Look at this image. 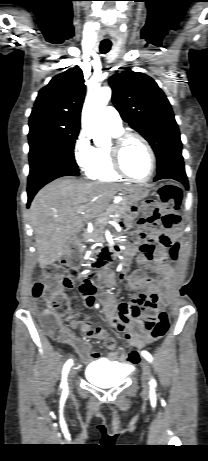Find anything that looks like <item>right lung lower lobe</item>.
<instances>
[{
    "instance_id": "right-lung-lower-lobe-1",
    "label": "right lung lower lobe",
    "mask_w": 208,
    "mask_h": 461,
    "mask_svg": "<svg viewBox=\"0 0 208 461\" xmlns=\"http://www.w3.org/2000/svg\"><path fill=\"white\" fill-rule=\"evenodd\" d=\"M78 176L79 171L74 170L67 165L60 164V163H50L46 164L36 171L31 172L28 177V202L27 207L30 206V202L33 199L34 195L37 191L49 183L50 181L62 177V176Z\"/></svg>"
}]
</instances>
